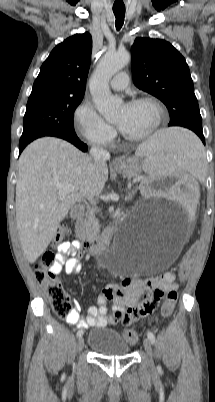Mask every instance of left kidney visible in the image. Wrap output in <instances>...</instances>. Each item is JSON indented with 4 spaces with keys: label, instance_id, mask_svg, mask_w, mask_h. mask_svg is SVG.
Segmentation results:
<instances>
[{
    "label": "left kidney",
    "instance_id": "5707ae66",
    "mask_svg": "<svg viewBox=\"0 0 215 402\" xmlns=\"http://www.w3.org/2000/svg\"><path fill=\"white\" fill-rule=\"evenodd\" d=\"M188 176L183 178V175H150L149 178L142 180L143 191L144 193H166V199L176 200V203H181V200L189 202L190 209H197L199 186L196 182H190Z\"/></svg>",
    "mask_w": 215,
    "mask_h": 402
}]
</instances>
